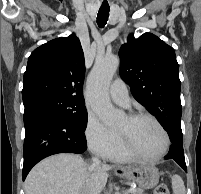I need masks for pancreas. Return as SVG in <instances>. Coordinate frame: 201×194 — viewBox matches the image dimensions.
<instances>
[{
    "label": "pancreas",
    "mask_w": 201,
    "mask_h": 194,
    "mask_svg": "<svg viewBox=\"0 0 201 194\" xmlns=\"http://www.w3.org/2000/svg\"><path fill=\"white\" fill-rule=\"evenodd\" d=\"M133 191L132 192H129L130 194H144L142 191L140 190H134L132 189Z\"/></svg>",
    "instance_id": "cf45deb5"
}]
</instances>
